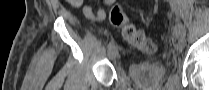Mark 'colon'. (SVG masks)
Masks as SVG:
<instances>
[{"label":"colon","instance_id":"5ec220e1","mask_svg":"<svg viewBox=\"0 0 209 90\" xmlns=\"http://www.w3.org/2000/svg\"><path fill=\"white\" fill-rule=\"evenodd\" d=\"M111 23L120 29L124 40L133 48L146 54L156 51V44L140 29L128 22L119 5L112 7L109 13Z\"/></svg>","mask_w":209,"mask_h":90}]
</instances>
